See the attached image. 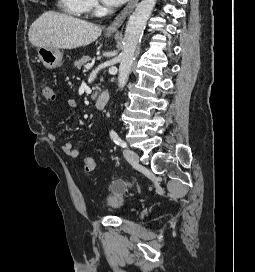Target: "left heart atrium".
Wrapping results in <instances>:
<instances>
[{"label": "left heart atrium", "instance_id": "left-heart-atrium-1", "mask_svg": "<svg viewBox=\"0 0 255 272\" xmlns=\"http://www.w3.org/2000/svg\"><path fill=\"white\" fill-rule=\"evenodd\" d=\"M126 0H102V2L106 5V6H110V7H116L121 5L123 2H125Z\"/></svg>", "mask_w": 255, "mask_h": 272}]
</instances>
